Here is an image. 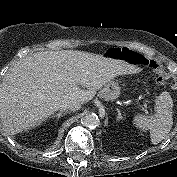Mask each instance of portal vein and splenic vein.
Returning <instances> with one entry per match:
<instances>
[{
  "label": "portal vein and splenic vein",
  "mask_w": 177,
  "mask_h": 177,
  "mask_svg": "<svg viewBox=\"0 0 177 177\" xmlns=\"http://www.w3.org/2000/svg\"><path fill=\"white\" fill-rule=\"evenodd\" d=\"M141 108L143 111H145L146 114H149V112L147 110V104L142 105Z\"/></svg>",
  "instance_id": "portal-vein-and-splenic-vein-1"
}]
</instances>
